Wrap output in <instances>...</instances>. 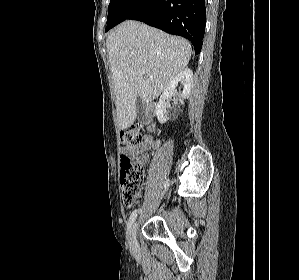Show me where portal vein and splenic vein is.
<instances>
[{"instance_id":"portal-vein-and-splenic-vein-1","label":"portal vein and splenic vein","mask_w":299,"mask_h":280,"mask_svg":"<svg viewBox=\"0 0 299 280\" xmlns=\"http://www.w3.org/2000/svg\"><path fill=\"white\" fill-rule=\"evenodd\" d=\"M139 73H140L141 75H144V74H145V70H144V69H140V70H139Z\"/></svg>"}]
</instances>
